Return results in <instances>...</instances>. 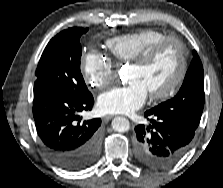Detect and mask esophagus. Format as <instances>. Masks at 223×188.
I'll use <instances>...</instances> for the list:
<instances>
[{
  "label": "esophagus",
  "mask_w": 223,
  "mask_h": 188,
  "mask_svg": "<svg viewBox=\"0 0 223 188\" xmlns=\"http://www.w3.org/2000/svg\"><path fill=\"white\" fill-rule=\"evenodd\" d=\"M114 118V116H112V115H110V116H105V117H103V122H109L111 119H113Z\"/></svg>",
  "instance_id": "esophagus-1"
}]
</instances>
